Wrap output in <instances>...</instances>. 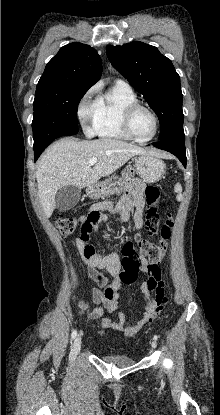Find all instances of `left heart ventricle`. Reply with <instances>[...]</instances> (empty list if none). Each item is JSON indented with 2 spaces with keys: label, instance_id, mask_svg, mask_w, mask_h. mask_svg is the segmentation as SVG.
<instances>
[{
  "label": "left heart ventricle",
  "instance_id": "b2bd125f",
  "mask_svg": "<svg viewBox=\"0 0 220 415\" xmlns=\"http://www.w3.org/2000/svg\"><path fill=\"white\" fill-rule=\"evenodd\" d=\"M131 131L140 139L150 137L154 132V120L149 112L144 109H138L131 118Z\"/></svg>",
  "mask_w": 220,
  "mask_h": 415
}]
</instances>
